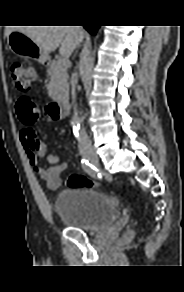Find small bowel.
<instances>
[{"label":"small bowel","instance_id":"1","mask_svg":"<svg viewBox=\"0 0 184 292\" xmlns=\"http://www.w3.org/2000/svg\"><path fill=\"white\" fill-rule=\"evenodd\" d=\"M19 140L31 168L45 182L48 188H58L62 184V174L66 171L67 164L62 162L60 156L54 153L47 156L50 166L46 167L40 164V159L46 151V145L37 138L31 126L23 125L19 132Z\"/></svg>","mask_w":184,"mask_h":292}]
</instances>
